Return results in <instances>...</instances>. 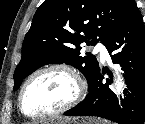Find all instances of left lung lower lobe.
<instances>
[{
	"label": "left lung lower lobe",
	"mask_w": 145,
	"mask_h": 124,
	"mask_svg": "<svg viewBox=\"0 0 145 124\" xmlns=\"http://www.w3.org/2000/svg\"><path fill=\"white\" fill-rule=\"evenodd\" d=\"M113 63L125 72L127 88L124 99L118 102L109 88L110 80L103 82L98 72L83 102L66 111V116H98L119 124H144L145 116V27L135 4L118 32L106 45Z\"/></svg>",
	"instance_id": "1"
}]
</instances>
